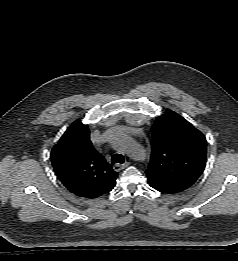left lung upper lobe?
<instances>
[{"label": "left lung upper lobe", "mask_w": 238, "mask_h": 261, "mask_svg": "<svg viewBox=\"0 0 238 261\" xmlns=\"http://www.w3.org/2000/svg\"><path fill=\"white\" fill-rule=\"evenodd\" d=\"M206 154L205 136L167 109L152 128V155L145 171L149 184L170 193L186 190L204 171Z\"/></svg>", "instance_id": "1"}]
</instances>
